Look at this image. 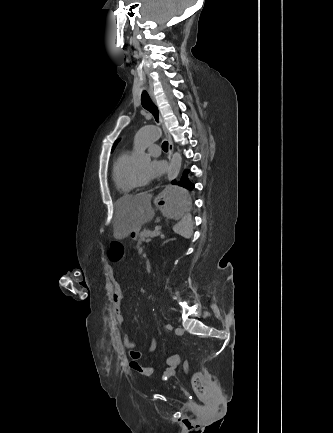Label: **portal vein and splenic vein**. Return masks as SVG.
I'll return each mask as SVG.
<instances>
[{
  "label": "portal vein and splenic vein",
  "instance_id": "obj_1",
  "mask_svg": "<svg viewBox=\"0 0 333 433\" xmlns=\"http://www.w3.org/2000/svg\"><path fill=\"white\" fill-rule=\"evenodd\" d=\"M159 235L161 238H164V235L161 233V230H156V232L151 233L148 238L146 239V242H150L154 236Z\"/></svg>",
  "mask_w": 333,
  "mask_h": 433
}]
</instances>
